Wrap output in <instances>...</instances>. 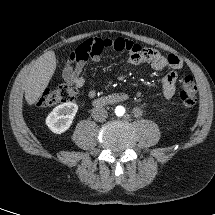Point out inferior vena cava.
<instances>
[{"instance_id":"602c4592","label":"inferior vena cava","mask_w":215,"mask_h":215,"mask_svg":"<svg viewBox=\"0 0 215 215\" xmlns=\"http://www.w3.org/2000/svg\"><path fill=\"white\" fill-rule=\"evenodd\" d=\"M92 118L96 121H105L108 117V113L104 107L98 106L92 109Z\"/></svg>"}]
</instances>
